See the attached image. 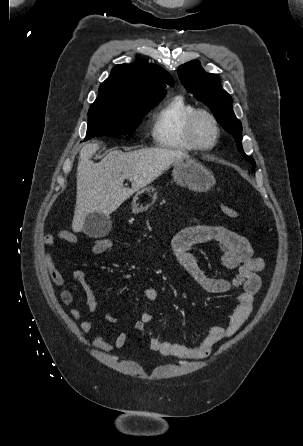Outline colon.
Segmentation results:
<instances>
[{"label":"colon","instance_id":"5ec220e1","mask_svg":"<svg viewBox=\"0 0 303 446\" xmlns=\"http://www.w3.org/2000/svg\"><path fill=\"white\" fill-rule=\"evenodd\" d=\"M221 211L223 212L224 215H226L229 218H236L238 216L237 211L228 205H222ZM111 247H112V241L104 238L102 243L103 254L109 251Z\"/></svg>","mask_w":303,"mask_h":446}]
</instances>
